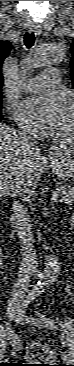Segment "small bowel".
Instances as JSON below:
<instances>
[{
	"label": "small bowel",
	"instance_id": "c3829d8e",
	"mask_svg": "<svg viewBox=\"0 0 74 366\" xmlns=\"http://www.w3.org/2000/svg\"><path fill=\"white\" fill-rule=\"evenodd\" d=\"M56 267H50L48 268V270L46 271V274L44 275L43 278H45V280H50L51 278H53L56 274Z\"/></svg>",
	"mask_w": 74,
	"mask_h": 366
}]
</instances>
